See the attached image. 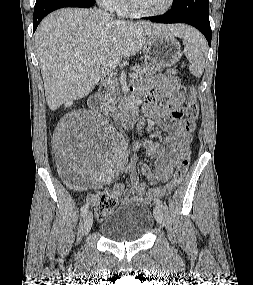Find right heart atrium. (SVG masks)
Instances as JSON below:
<instances>
[{
	"label": "right heart atrium",
	"mask_w": 253,
	"mask_h": 285,
	"mask_svg": "<svg viewBox=\"0 0 253 285\" xmlns=\"http://www.w3.org/2000/svg\"><path fill=\"white\" fill-rule=\"evenodd\" d=\"M99 4L108 10H117L122 0H97Z\"/></svg>",
	"instance_id": "obj_1"
}]
</instances>
